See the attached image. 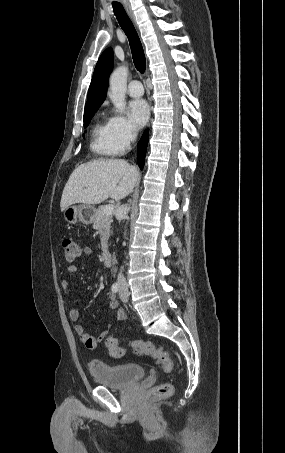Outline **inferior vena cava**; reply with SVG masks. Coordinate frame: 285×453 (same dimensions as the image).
<instances>
[{
	"mask_svg": "<svg viewBox=\"0 0 285 453\" xmlns=\"http://www.w3.org/2000/svg\"><path fill=\"white\" fill-rule=\"evenodd\" d=\"M135 138H136V133H135V132H132V134L130 135L131 141H134ZM123 209H124V214H125V213L127 212L126 206H124ZM117 281H118V283H120V284L126 282V280H125V278H124V275H123L122 271H120V273L118 274Z\"/></svg>",
	"mask_w": 285,
	"mask_h": 453,
	"instance_id": "1",
	"label": "inferior vena cava"
}]
</instances>
